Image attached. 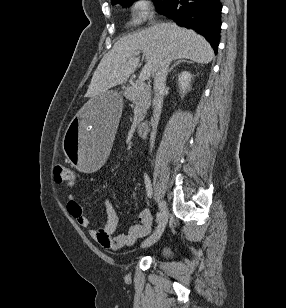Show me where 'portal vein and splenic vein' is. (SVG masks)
<instances>
[{
    "label": "portal vein and splenic vein",
    "instance_id": "18ae733b",
    "mask_svg": "<svg viewBox=\"0 0 286 308\" xmlns=\"http://www.w3.org/2000/svg\"><path fill=\"white\" fill-rule=\"evenodd\" d=\"M140 52H136V55H139ZM151 70H152V65L151 63H146L145 66L143 67L141 73H140V77L139 79L141 81H145L150 77L151 74Z\"/></svg>",
    "mask_w": 286,
    "mask_h": 308
}]
</instances>
